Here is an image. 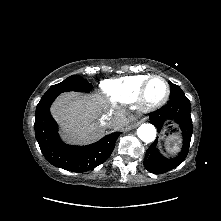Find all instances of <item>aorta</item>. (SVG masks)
<instances>
[{"mask_svg":"<svg viewBox=\"0 0 221 221\" xmlns=\"http://www.w3.org/2000/svg\"><path fill=\"white\" fill-rule=\"evenodd\" d=\"M137 135L143 142H153L156 137V128L152 124L144 123L138 127Z\"/></svg>","mask_w":221,"mask_h":221,"instance_id":"obj_1","label":"aorta"}]
</instances>
